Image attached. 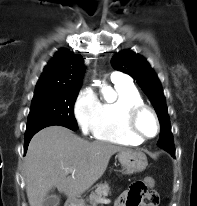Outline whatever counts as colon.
I'll use <instances>...</instances> for the list:
<instances>
[{
	"label": "colon",
	"instance_id": "colon-1",
	"mask_svg": "<svg viewBox=\"0 0 197 206\" xmlns=\"http://www.w3.org/2000/svg\"><path fill=\"white\" fill-rule=\"evenodd\" d=\"M154 185L155 182L152 178L134 182L128 190L129 206H140L143 203H148L150 199L146 196L147 191L148 189L154 187Z\"/></svg>",
	"mask_w": 197,
	"mask_h": 206
}]
</instances>
